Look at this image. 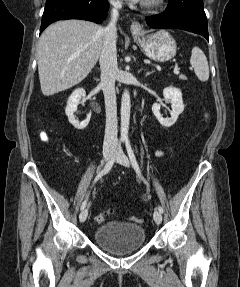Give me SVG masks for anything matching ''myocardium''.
<instances>
[{"label": "myocardium", "mask_w": 240, "mask_h": 287, "mask_svg": "<svg viewBox=\"0 0 240 287\" xmlns=\"http://www.w3.org/2000/svg\"><path fill=\"white\" fill-rule=\"evenodd\" d=\"M163 0H144L143 6L147 9H155L161 5Z\"/></svg>", "instance_id": "1"}]
</instances>
